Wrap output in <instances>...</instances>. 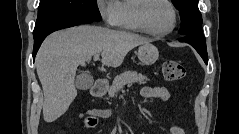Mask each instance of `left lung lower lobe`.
I'll list each match as a JSON object with an SVG mask.
<instances>
[{
	"label": "left lung lower lobe",
	"instance_id": "left-lung-lower-lobe-1",
	"mask_svg": "<svg viewBox=\"0 0 239 134\" xmlns=\"http://www.w3.org/2000/svg\"><path fill=\"white\" fill-rule=\"evenodd\" d=\"M179 40L192 45L196 49V51L201 55L204 62L206 64L208 63L205 37L198 38V37H194V36H187V37L181 38Z\"/></svg>",
	"mask_w": 239,
	"mask_h": 134
}]
</instances>
